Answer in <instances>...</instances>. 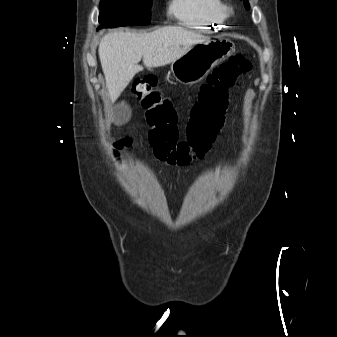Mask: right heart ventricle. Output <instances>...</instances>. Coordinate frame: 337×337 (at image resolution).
<instances>
[{
	"label": "right heart ventricle",
	"mask_w": 337,
	"mask_h": 337,
	"mask_svg": "<svg viewBox=\"0 0 337 337\" xmlns=\"http://www.w3.org/2000/svg\"><path fill=\"white\" fill-rule=\"evenodd\" d=\"M168 10L182 25L199 31L221 29L227 23L223 0H171Z\"/></svg>",
	"instance_id": "e07e8e85"
}]
</instances>
